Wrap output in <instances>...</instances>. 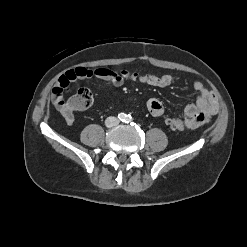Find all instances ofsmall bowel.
I'll return each mask as SVG.
<instances>
[{
	"label": "small bowel",
	"instance_id": "c3829d8e",
	"mask_svg": "<svg viewBox=\"0 0 247 247\" xmlns=\"http://www.w3.org/2000/svg\"><path fill=\"white\" fill-rule=\"evenodd\" d=\"M91 78L107 81L115 87H121L127 81L166 87L174 81L171 75L138 73L128 69L117 72L108 68L88 69L77 67L68 70L58 79L52 90V102L68 125H72L74 122V109L71 107L69 100H64L63 94L69 90L72 82ZM193 87L197 94L196 100L187 104L182 114V121L189 129H195L208 123L217 114L219 108L212 90L199 81L194 82ZM147 108L150 114L155 117L164 113L163 104L157 98H150L147 101Z\"/></svg>",
	"mask_w": 247,
	"mask_h": 247
}]
</instances>
